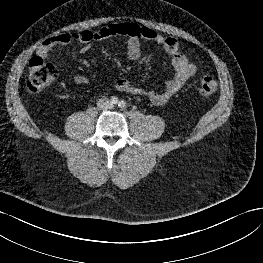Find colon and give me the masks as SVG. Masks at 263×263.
Here are the masks:
<instances>
[{"mask_svg": "<svg viewBox=\"0 0 263 263\" xmlns=\"http://www.w3.org/2000/svg\"><path fill=\"white\" fill-rule=\"evenodd\" d=\"M57 76L54 65L42 57H34L29 63L28 75L25 81L30 92H39L55 80ZM218 88L217 81L211 76H204L200 81L199 91L203 95L213 94Z\"/></svg>", "mask_w": 263, "mask_h": 263, "instance_id": "1", "label": "colon"}]
</instances>
